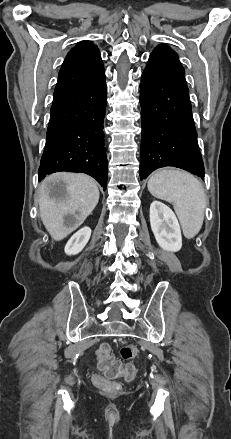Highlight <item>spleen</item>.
Masks as SVG:
<instances>
[{
    "label": "spleen",
    "mask_w": 231,
    "mask_h": 439,
    "mask_svg": "<svg viewBox=\"0 0 231 439\" xmlns=\"http://www.w3.org/2000/svg\"><path fill=\"white\" fill-rule=\"evenodd\" d=\"M147 186L154 197L173 203L187 238H193L200 231L206 198L197 178L182 171L161 170L150 177Z\"/></svg>",
    "instance_id": "spleen-1"
}]
</instances>
